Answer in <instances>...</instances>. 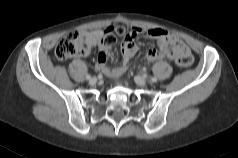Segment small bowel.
Segmentation results:
<instances>
[{"label":"small bowel","instance_id":"obj_1","mask_svg":"<svg viewBox=\"0 0 238 158\" xmlns=\"http://www.w3.org/2000/svg\"><path fill=\"white\" fill-rule=\"evenodd\" d=\"M146 34L153 39L157 40V49H149L146 53V58L149 61H157L163 58L174 59L177 55L191 56V51L177 36L162 28H150L144 30L141 27H134L123 38L121 44L122 61L116 67H109L107 65V58L109 56L111 46L104 45L100 42L99 31H84L82 33L86 43V53L90 52L92 47H98L99 54L97 58V70L105 73L106 75L118 78L124 74L128 68L129 60L136 54L138 45L136 42L137 36L140 33Z\"/></svg>","mask_w":238,"mask_h":158}]
</instances>
